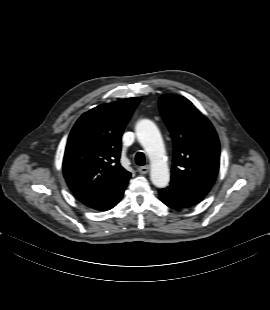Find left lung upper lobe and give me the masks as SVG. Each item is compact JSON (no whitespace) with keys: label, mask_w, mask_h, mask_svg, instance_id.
<instances>
[{"label":"left lung upper lobe","mask_w":270,"mask_h":310,"mask_svg":"<svg viewBox=\"0 0 270 310\" xmlns=\"http://www.w3.org/2000/svg\"><path fill=\"white\" fill-rule=\"evenodd\" d=\"M159 108L174 141L171 179L211 189L220 158L219 140L212 124L182 96L163 95Z\"/></svg>","instance_id":"obj_1"}]
</instances>
